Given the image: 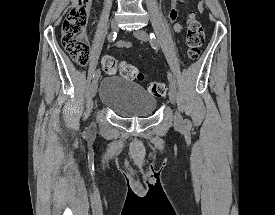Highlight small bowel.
Returning a JSON list of instances; mask_svg holds the SVG:
<instances>
[{"label":"small bowel","instance_id":"c3829d8e","mask_svg":"<svg viewBox=\"0 0 275 215\" xmlns=\"http://www.w3.org/2000/svg\"><path fill=\"white\" fill-rule=\"evenodd\" d=\"M181 1H182V0H181ZM202 8H203V4L199 2V3H198V9H202ZM169 17H170V20H171V21H175V20L177 19V17H178V12H177V10H176V9H172V10L170 11V13H169ZM182 29H183V25H182L181 23H176V24L174 25V30H175L177 33L181 32ZM115 46H116V47H119V48H122V47L129 48V47L132 46V43L129 42V41H122V40H120V41H117V42L115 43Z\"/></svg>","mask_w":275,"mask_h":215}]
</instances>
